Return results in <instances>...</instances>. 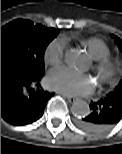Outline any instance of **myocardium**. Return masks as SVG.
Instances as JSON below:
<instances>
[{
	"label": "myocardium",
	"mask_w": 122,
	"mask_h": 154,
	"mask_svg": "<svg viewBox=\"0 0 122 154\" xmlns=\"http://www.w3.org/2000/svg\"><path fill=\"white\" fill-rule=\"evenodd\" d=\"M92 70L103 85L112 83L118 73V63L111 57L93 60Z\"/></svg>",
	"instance_id": "myocardium-1"
}]
</instances>
